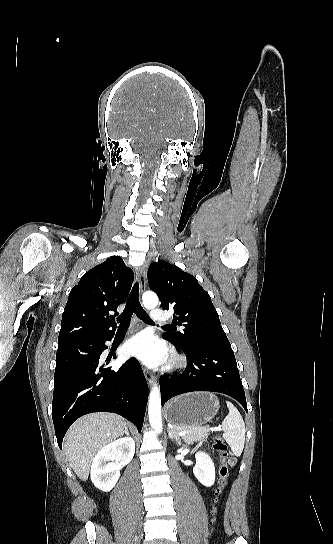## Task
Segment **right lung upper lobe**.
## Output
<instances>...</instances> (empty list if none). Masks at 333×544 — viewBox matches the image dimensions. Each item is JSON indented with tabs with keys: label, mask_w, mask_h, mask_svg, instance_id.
<instances>
[{
	"label": "right lung upper lobe",
	"mask_w": 333,
	"mask_h": 544,
	"mask_svg": "<svg viewBox=\"0 0 333 544\" xmlns=\"http://www.w3.org/2000/svg\"><path fill=\"white\" fill-rule=\"evenodd\" d=\"M134 279L119 256H112L86 272L69 294L58 345L115 332L117 307L125 303ZM114 311V315L110 312Z\"/></svg>",
	"instance_id": "obj_1"
}]
</instances>
